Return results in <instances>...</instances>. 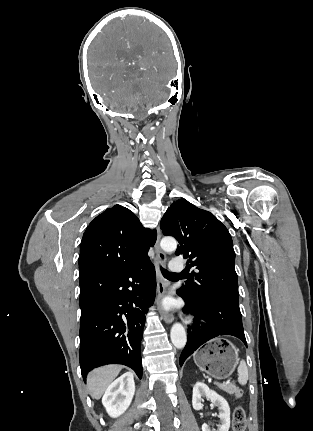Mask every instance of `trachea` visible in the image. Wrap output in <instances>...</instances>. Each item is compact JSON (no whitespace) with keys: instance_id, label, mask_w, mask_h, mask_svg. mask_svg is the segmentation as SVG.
Returning a JSON list of instances; mask_svg holds the SVG:
<instances>
[{"instance_id":"1","label":"trachea","mask_w":313,"mask_h":431,"mask_svg":"<svg viewBox=\"0 0 313 431\" xmlns=\"http://www.w3.org/2000/svg\"><path fill=\"white\" fill-rule=\"evenodd\" d=\"M161 271H162V274L164 275V277H166V278H171V277H174V276H178V274L169 272V271H167V270H165L163 268H161Z\"/></svg>"}]
</instances>
